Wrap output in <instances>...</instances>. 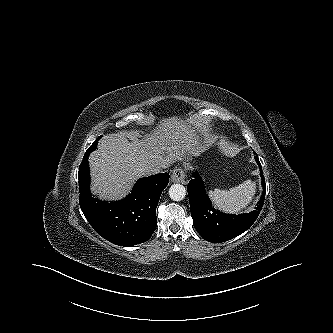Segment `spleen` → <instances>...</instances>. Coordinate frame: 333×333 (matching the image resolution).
I'll list each match as a JSON object with an SVG mask.
<instances>
[{
	"instance_id": "3e777b00",
	"label": "spleen",
	"mask_w": 333,
	"mask_h": 333,
	"mask_svg": "<svg viewBox=\"0 0 333 333\" xmlns=\"http://www.w3.org/2000/svg\"><path fill=\"white\" fill-rule=\"evenodd\" d=\"M256 192V184L251 180L229 190L214 189L209 191V197L215 206L227 213H238L244 209L251 201Z\"/></svg>"
}]
</instances>
